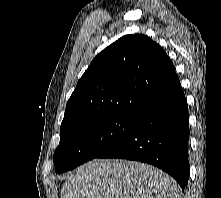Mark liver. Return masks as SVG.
<instances>
[{
    "label": "liver",
    "mask_w": 221,
    "mask_h": 198,
    "mask_svg": "<svg viewBox=\"0 0 221 198\" xmlns=\"http://www.w3.org/2000/svg\"><path fill=\"white\" fill-rule=\"evenodd\" d=\"M60 198H181L177 182L151 165L94 159L77 168L62 186Z\"/></svg>",
    "instance_id": "obj_1"
}]
</instances>
